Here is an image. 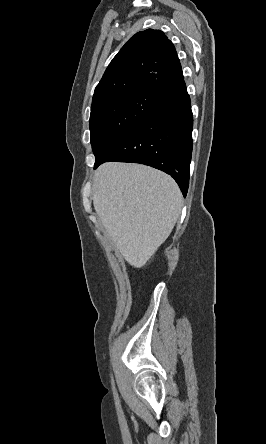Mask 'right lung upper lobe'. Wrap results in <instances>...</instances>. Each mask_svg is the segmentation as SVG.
<instances>
[{
    "label": "right lung upper lobe",
    "instance_id": "1",
    "mask_svg": "<svg viewBox=\"0 0 266 444\" xmlns=\"http://www.w3.org/2000/svg\"><path fill=\"white\" fill-rule=\"evenodd\" d=\"M186 90L174 45L160 30L132 36L107 67L96 86L92 107L130 92H145L162 101Z\"/></svg>",
    "mask_w": 266,
    "mask_h": 444
}]
</instances>
